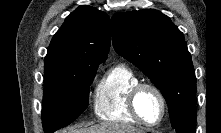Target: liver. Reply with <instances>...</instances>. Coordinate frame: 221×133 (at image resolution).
Returning <instances> with one entry per match:
<instances>
[{
    "label": "liver",
    "mask_w": 221,
    "mask_h": 133,
    "mask_svg": "<svg viewBox=\"0 0 221 133\" xmlns=\"http://www.w3.org/2000/svg\"><path fill=\"white\" fill-rule=\"evenodd\" d=\"M135 127L116 122H102L88 128H68L60 133H140Z\"/></svg>",
    "instance_id": "6515ba94"
}]
</instances>
